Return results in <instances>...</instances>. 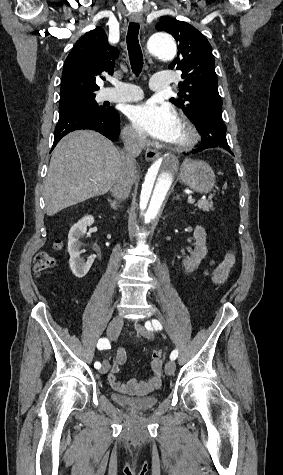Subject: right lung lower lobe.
<instances>
[{
	"mask_svg": "<svg viewBox=\"0 0 283 475\" xmlns=\"http://www.w3.org/2000/svg\"><path fill=\"white\" fill-rule=\"evenodd\" d=\"M81 129L94 130L115 140L120 133L119 115L114 108H109L106 115H99L84 107L59 111L52 149L66 134Z\"/></svg>",
	"mask_w": 283,
	"mask_h": 475,
	"instance_id": "obj_1",
	"label": "right lung lower lobe"
}]
</instances>
